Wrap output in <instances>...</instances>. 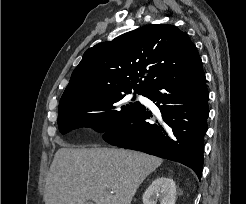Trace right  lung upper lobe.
<instances>
[{
	"instance_id": "cb5924a9",
	"label": "right lung upper lobe",
	"mask_w": 246,
	"mask_h": 204,
	"mask_svg": "<svg viewBox=\"0 0 246 204\" xmlns=\"http://www.w3.org/2000/svg\"><path fill=\"white\" fill-rule=\"evenodd\" d=\"M200 59L189 37L173 25L152 24L88 49L59 106L108 94L144 93L162 78Z\"/></svg>"
}]
</instances>
